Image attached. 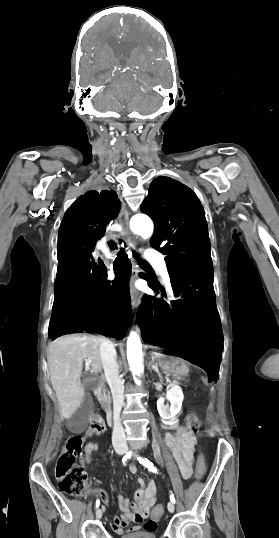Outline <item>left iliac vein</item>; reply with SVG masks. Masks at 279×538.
<instances>
[{
	"label": "left iliac vein",
	"mask_w": 279,
	"mask_h": 538,
	"mask_svg": "<svg viewBox=\"0 0 279 538\" xmlns=\"http://www.w3.org/2000/svg\"><path fill=\"white\" fill-rule=\"evenodd\" d=\"M134 458H136L135 455H134ZM167 507H168V510H169L170 513H173V512H174V510H175V506H174V503H173V502H169Z\"/></svg>",
	"instance_id": "1"
}]
</instances>
